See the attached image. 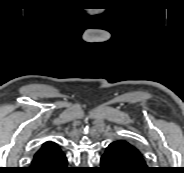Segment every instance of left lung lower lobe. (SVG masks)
<instances>
[{
  "mask_svg": "<svg viewBox=\"0 0 184 173\" xmlns=\"http://www.w3.org/2000/svg\"><path fill=\"white\" fill-rule=\"evenodd\" d=\"M102 173H151L143 154L125 140L108 145L101 157Z\"/></svg>",
  "mask_w": 184,
  "mask_h": 173,
  "instance_id": "obj_1",
  "label": "left lung lower lobe"
}]
</instances>
